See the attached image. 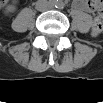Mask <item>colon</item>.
Returning <instances> with one entry per match:
<instances>
[{
    "label": "colon",
    "instance_id": "colon-1",
    "mask_svg": "<svg viewBox=\"0 0 103 103\" xmlns=\"http://www.w3.org/2000/svg\"><path fill=\"white\" fill-rule=\"evenodd\" d=\"M90 8L93 11H96L98 13V16L95 18L93 25H92V36H98L103 29V20H102V11H103V5L102 2L98 0L90 1Z\"/></svg>",
    "mask_w": 103,
    "mask_h": 103
}]
</instances>
